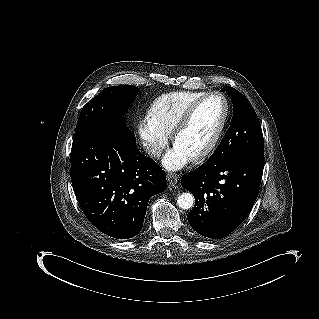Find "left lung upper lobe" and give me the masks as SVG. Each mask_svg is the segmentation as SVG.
I'll list each match as a JSON object with an SVG mask.
<instances>
[{
    "label": "left lung upper lobe",
    "instance_id": "1",
    "mask_svg": "<svg viewBox=\"0 0 319 319\" xmlns=\"http://www.w3.org/2000/svg\"><path fill=\"white\" fill-rule=\"evenodd\" d=\"M221 91L227 92L232 99L233 117L220 145L206 161L208 163H219L246 151L264 149L260 122L250 102L232 87H224Z\"/></svg>",
    "mask_w": 319,
    "mask_h": 319
}]
</instances>
